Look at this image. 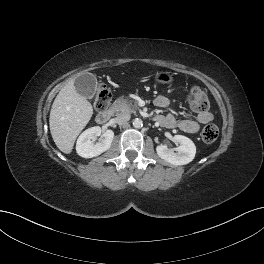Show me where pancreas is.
I'll return each mask as SVG.
<instances>
[{"label":"pancreas","mask_w":264,"mask_h":264,"mask_svg":"<svg viewBox=\"0 0 264 264\" xmlns=\"http://www.w3.org/2000/svg\"><path fill=\"white\" fill-rule=\"evenodd\" d=\"M113 109L116 112V115L135 113L137 104L131 100L120 97L113 103Z\"/></svg>","instance_id":"obj_1"}]
</instances>
